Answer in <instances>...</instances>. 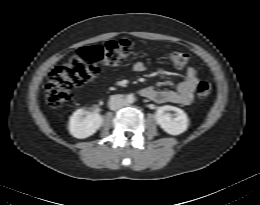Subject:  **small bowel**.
I'll return each mask as SVG.
<instances>
[{
  "instance_id": "small-bowel-1",
  "label": "small bowel",
  "mask_w": 260,
  "mask_h": 205,
  "mask_svg": "<svg viewBox=\"0 0 260 205\" xmlns=\"http://www.w3.org/2000/svg\"><path fill=\"white\" fill-rule=\"evenodd\" d=\"M133 69L136 72H142L145 70V65L139 61L134 64ZM184 75V80L177 85L176 90L156 89L148 86L140 90V95L161 104L189 105L193 101V93L199 82V77L193 67L185 68Z\"/></svg>"
}]
</instances>
